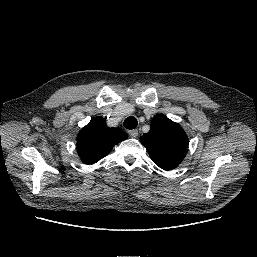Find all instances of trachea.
I'll return each instance as SVG.
<instances>
[{
    "mask_svg": "<svg viewBox=\"0 0 257 257\" xmlns=\"http://www.w3.org/2000/svg\"><path fill=\"white\" fill-rule=\"evenodd\" d=\"M137 124V119L133 116H130L124 120L123 126L127 129H135L137 127Z\"/></svg>",
    "mask_w": 257,
    "mask_h": 257,
    "instance_id": "3493384b",
    "label": "trachea"
}]
</instances>
